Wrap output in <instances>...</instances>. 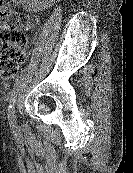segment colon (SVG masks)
I'll list each match as a JSON object with an SVG mask.
<instances>
[{"label": "colon", "instance_id": "colon-1", "mask_svg": "<svg viewBox=\"0 0 133 173\" xmlns=\"http://www.w3.org/2000/svg\"><path fill=\"white\" fill-rule=\"evenodd\" d=\"M15 0H0V80H11L26 59L28 31L35 25L33 17L9 8Z\"/></svg>", "mask_w": 133, "mask_h": 173}]
</instances>
